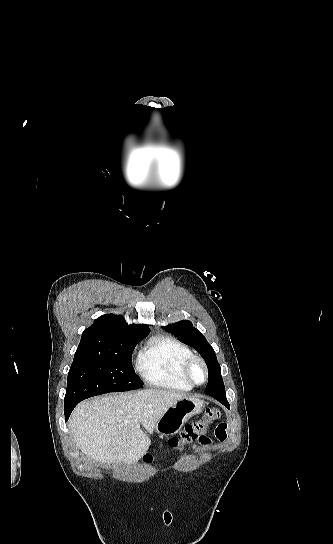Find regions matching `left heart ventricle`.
Here are the masks:
<instances>
[{"instance_id": "1", "label": "left heart ventricle", "mask_w": 333, "mask_h": 544, "mask_svg": "<svg viewBox=\"0 0 333 544\" xmlns=\"http://www.w3.org/2000/svg\"><path fill=\"white\" fill-rule=\"evenodd\" d=\"M191 375L196 382H202L205 376L202 366L195 364L191 370Z\"/></svg>"}]
</instances>
